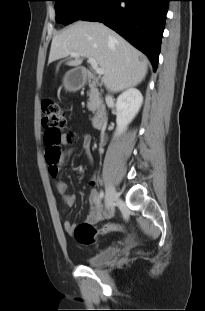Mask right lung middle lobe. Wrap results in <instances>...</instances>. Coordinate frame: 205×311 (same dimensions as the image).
<instances>
[{
  "instance_id": "dd1d6c3e",
  "label": "right lung middle lobe",
  "mask_w": 205,
  "mask_h": 311,
  "mask_svg": "<svg viewBox=\"0 0 205 311\" xmlns=\"http://www.w3.org/2000/svg\"><path fill=\"white\" fill-rule=\"evenodd\" d=\"M56 21L65 25L80 20L93 11L102 0H53Z\"/></svg>"
}]
</instances>
